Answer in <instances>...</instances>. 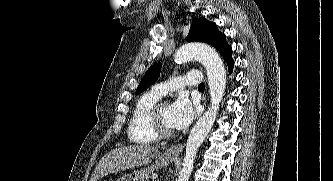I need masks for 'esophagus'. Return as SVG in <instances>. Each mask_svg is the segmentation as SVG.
Masks as SVG:
<instances>
[{"label":"esophagus","instance_id":"esophagus-1","mask_svg":"<svg viewBox=\"0 0 333 181\" xmlns=\"http://www.w3.org/2000/svg\"><path fill=\"white\" fill-rule=\"evenodd\" d=\"M204 100H205V98H204ZM181 149H182V146L180 144L173 145L168 149L167 153L171 154V155H178L180 153Z\"/></svg>","mask_w":333,"mask_h":181}]
</instances>
